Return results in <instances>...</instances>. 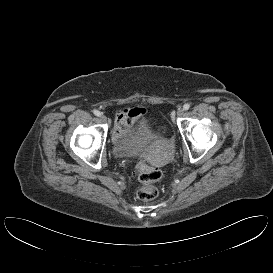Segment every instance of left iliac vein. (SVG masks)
I'll return each instance as SVG.
<instances>
[{
  "mask_svg": "<svg viewBox=\"0 0 273 273\" xmlns=\"http://www.w3.org/2000/svg\"><path fill=\"white\" fill-rule=\"evenodd\" d=\"M183 114H184V109H183V108H179V109L177 110V116H178V117H181V116H183Z\"/></svg>",
  "mask_w": 273,
  "mask_h": 273,
  "instance_id": "left-iliac-vein-1",
  "label": "left iliac vein"
}]
</instances>
